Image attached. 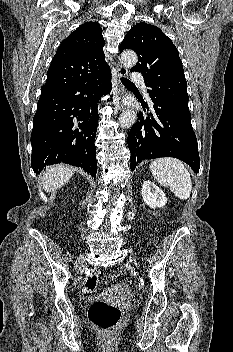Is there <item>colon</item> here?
Returning <instances> with one entry per match:
<instances>
[{
  "instance_id": "colon-1",
  "label": "colon",
  "mask_w": 233,
  "mask_h": 352,
  "mask_svg": "<svg viewBox=\"0 0 233 352\" xmlns=\"http://www.w3.org/2000/svg\"><path fill=\"white\" fill-rule=\"evenodd\" d=\"M98 285V274L92 272L87 275L83 282V292L92 295ZM90 322L99 330L109 332L113 330L121 319V310L103 300H97L92 303L88 311Z\"/></svg>"
}]
</instances>
